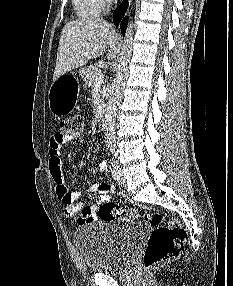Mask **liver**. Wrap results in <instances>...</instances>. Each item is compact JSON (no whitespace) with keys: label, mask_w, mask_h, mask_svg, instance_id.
<instances>
[{"label":"liver","mask_w":233,"mask_h":286,"mask_svg":"<svg viewBox=\"0 0 233 286\" xmlns=\"http://www.w3.org/2000/svg\"><path fill=\"white\" fill-rule=\"evenodd\" d=\"M117 44L118 36L107 21L81 19L68 22L59 41L53 80L102 55L108 47L107 57L112 58L117 51Z\"/></svg>","instance_id":"obj_1"}]
</instances>
